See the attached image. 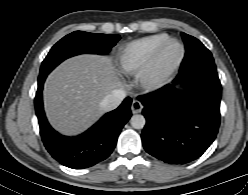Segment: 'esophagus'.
Masks as SVG:
<instances>
[{
  "label": "esophagus",
  "instance_id": "1",
  "mask_svg": "<svg viewBox=\"0 0 248 195\" xmlns=\"http://www.w3.org/2000/svg\"><path fill=\"white\" fill-rule=\"evenodd\" d=\"M143 109V105L137 99H134L131 104V111L133 114L140 113Z\"/></svg>",
  "mask_w": 248,
  "mask_h": 195
}]
</instances>
